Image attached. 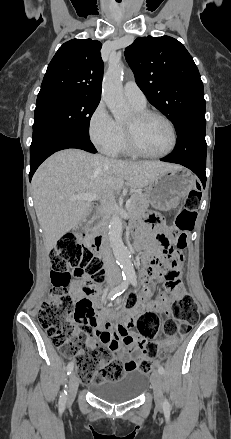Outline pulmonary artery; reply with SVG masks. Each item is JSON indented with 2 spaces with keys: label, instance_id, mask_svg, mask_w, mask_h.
Returning a JSON list of instances; mask_svg holds the SVG:
<instances>
[{
  "label": "pulmonary artery",
  "instance_id": "obj_1",
  "mask_svg": "<svg viewBox=\"0 0 231 439\" xmlns=\"http://www.w3.org/2000/svg\"><path fill=\"white\" fill-rule=\"evenodd\" d=\"M125 98L134 106L145 107L146 97L134 81H128L123 87Z\"/></svg>",
  "mask_w": 231,
  "mask_h": 439
}]
</instances>
